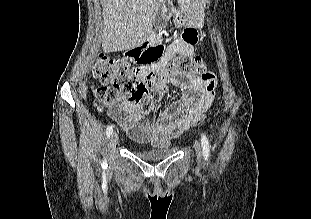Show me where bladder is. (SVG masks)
Here are the masks:
<instances>
[{
    "label": "bladder",
    "instance_id": "1",
    "mask_svg": "<svg viewBox=\"0 0 311 219\" xmlns=\"http://www.w3.org/2000/svg\"><path fill=\"white\" fill-rule=\"evenodd\" d=\"M178 150V146H162L149 149H140L137 153L143 159L157 161L174 155Z\"/></svg>",
    "mask_w": 311,
    "mask_h": 219
}]
</instances>
